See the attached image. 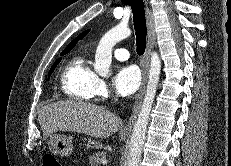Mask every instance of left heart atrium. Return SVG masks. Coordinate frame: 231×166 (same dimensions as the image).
Returning <instances> with one entry per match:
<instances>
[{
    "label": "left heart atrium",
    "mask_w": 231,
    "mask_h": 166,
    "mask_svg": "<svg viewBox=\"0 0 231 166\" xmlns=\"http://www.w3.org/2000/svg\"><path fill=\"white\" fill-rule=\"evenodd\" d=\"M141 73L134 65H125L118 69L113 84L116 91L122 96L133 94L140 86Z\"/></svg>",
    "instance_id": "39dd6f15"
}]
</instances>
